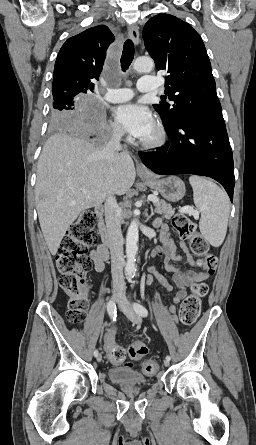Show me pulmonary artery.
Returning a JSON list of instances; mask_svg holds the SVG:
<instances>
[{
	"label": "pulmonary artery",
	"instance_id": "obj_1",
	"mask_svg": "<svg viewBox=\"0 0 256 445\" xmlns=\"http://www.w3.org/2000/svg\"><path fill=\"white\" fill-rule=\"evenodd\" d=\"M137 88L140 92H153L157 89L155 77L143 76L139 79ZM133 92L128 88L109 89L105 99L111 103H121L130 100Z\"/></svg>",
	"mask_w": 256,
	"mask_h": 445
}]
</instances>
